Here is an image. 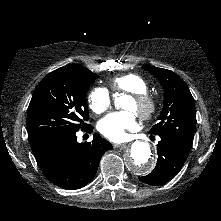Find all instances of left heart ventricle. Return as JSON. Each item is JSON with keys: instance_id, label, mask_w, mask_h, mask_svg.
<instances>
[{"instance_id": "obj_1", "label": "left heart ventricle", "mask_w": 221, "mask_h": 221, "mask_svg": "<svg viewBox=\"0 0 221 221\" xmlns=\"http://www.w3.org/2000/svg\"><path fill=\"white\" fill-rule=\"evenodd\" d=\"M125 108L127 110H131V111H136V104L134 102V100L132 98H130L126 104H125Z\"/></svg>"}]
</instances>
